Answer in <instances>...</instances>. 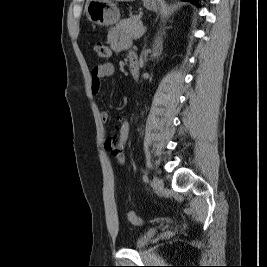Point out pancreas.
<instances>
[{
  "label": "pancreas",
  "instance_id": "pancreas-1",
  "mask_svg": "<svg viewBox=\"0 0 267 267\" xmlns=\"http://www.w3.org/2000/svg\"><path fill=\"white\" fill-rule=\"evenodd\" d=\"M141 15L131 16L128 19H125L120 24V32L123 35H127L133 39L139 35L143 24L140 20Z\"/></svg>",
  "mask_w": 267,
  "mask_h": 267
}]
</instances>
